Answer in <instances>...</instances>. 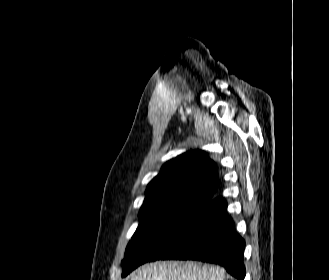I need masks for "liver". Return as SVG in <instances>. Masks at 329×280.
Here are the masks:
<instances>
[{
	"label": "liver",
	"mask_w": 329,
	"mask_h": 280,
	"mask_svg": "<svg viewBox=\"0 0 329 280\" xmlns=\"http://www.w3.org/2000/svg\"><path fill=\"white\" fill-rule=\"evenodd\" d=\"M218 266L201 265L193 261H158L141 266L130 280H223Z\"/></svg>",
	"instance_id": "obj_1"
}]
</instances>
